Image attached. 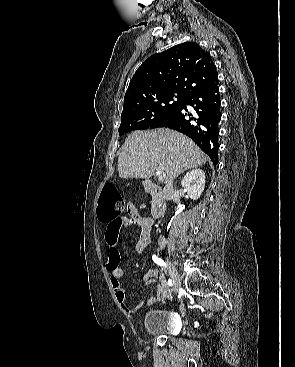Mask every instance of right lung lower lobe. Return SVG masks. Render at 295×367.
I'll return each mask as SVG.
<instances>
[{
    "instance_id": "obj_1",
    "label": "right lung lower lobe",
    "mask_w": 295,
    "mask_h": 367,
    "mask_svg": "<svg viewBox=\"0 0 295 367\" xmlns=\"http://www.w3.org/2000/svg\"><path fill=\"white\" fill-rule=\"evenodd\" d=\"M187 105L192 106L193 111H188ZM220 118L217 77L208 85L189 94L179 109L158 120L149 128L168 127L189 136L216 165Z\"/></svg>"
}]
</instances>
